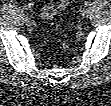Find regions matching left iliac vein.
I'll use <instances>...</instances> for the list:
<instances>
[{"mask_svg": "<svg viewBox=\"0 0 111 106\" xmlns=\"http://www.w3.org/2000/svg\"><path fill=\"white\" fill-rule=\"evenodd\" d=\"M87 13H88L87 10H82V11H81V17H82V18L86 17V16H87Z\"/></svg>", "mask_w": 111, "mask_h": 106, "instance_id": "4c4485c4", "label": "left iliac vein"}]
</instances>
